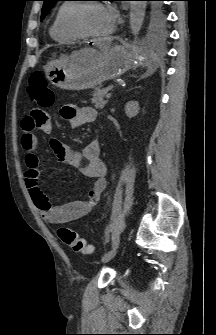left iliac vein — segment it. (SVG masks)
I'll return each instance as SVG.
<instances>
[{
  "mask_svg": "<svg viewBox=\"0 0 216 335\" xmlns=\"http://www.w3.org/2000/svg\"><path fill=\"white\" fill-rule=\"evenodd\" d=\"M118 247L112 248L110 251H108L103 257L102 262L106 263L109 262L117 253Z\"/></svg>",
  "mask_w": 216,
  "mask_h": 335,
  "instance_id": "left-iliac-vein-1",
  "label": "left iliac vein"
}]
</instances>
